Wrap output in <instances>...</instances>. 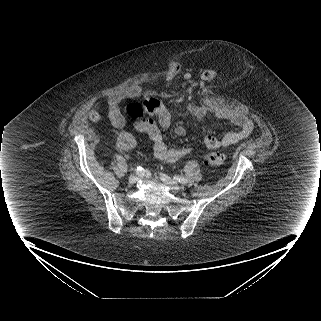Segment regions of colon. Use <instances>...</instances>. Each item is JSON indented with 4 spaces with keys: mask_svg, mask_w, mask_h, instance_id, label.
Segmentation results:
<instances>
[{
    "mask_svg": "<svg viewBox=\"0 0 321 321\" xmlns=\"http://www.w3.org/2000/svg\"><path fill=\"white\" fill-rule=\"evenodd\" d=\"M179 70V65L176 61H170L167 66V73L163 76V81L165 83H170L172 81V76H174ZM220 75V71L213 69L209 71L208 69H203L198 74V81L202 85H209L212 83L213 78ZM126 115L132 120L143 121L145 119V110L142 104L138 102L130 103L125 107ZM102 108L95 105L90 113L89 118L92 121H98L101 118ZM205 161L207 164L219 166L225 163L226 156L219 152H211L205 156Z\"/></svg>",
    "mask_w": 321,
    "mask_h": 321,
    "instance_id": "1",
    "label": "colon"
}]
</instances>
